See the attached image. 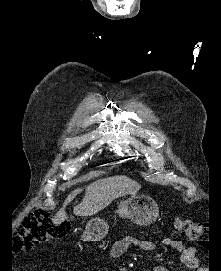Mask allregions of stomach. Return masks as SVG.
Masks as SVG:
<instances>
[{
    "label": "stomach",
    "mask_w": 221,
    "mask_h": 271,
    "mask_svg": "<svg viewBox=\"0 0 221 271\" xmlns=\"http://www.w3.org/2000/svg\"><path fill=\"white\" fill-rule=\"evenodd\" d=\"M157 202L154 197H126V201H121L117 209L119 215L130 217L137 225H148L154 219V213H158ZM108 231L107 223L102 219H90L85 227L84 237L88 241H100Z\"/></svg>",
    "instance_id": "0dacf381"
}]
</instances>
